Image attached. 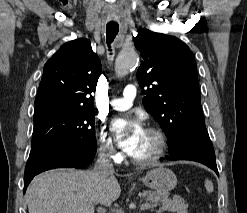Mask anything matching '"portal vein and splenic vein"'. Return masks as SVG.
<instances>
[{"instance_id": "1", "label": "portal vein and splenic vein", "mask_w": 247, "mask_h": 213, "mask_svg": "<svg viewBox=\"0 0 247 213\" xmlns=\"http://www.w3.org/2000/svg\"><path fill=\"white\" fill-rule=\"evenodd\" d=\"M151 208V205L149 203H143L140 206L141 210L149 209ZM117 213H123L121 210H116Z\"/></svg>"}]
</instances>
